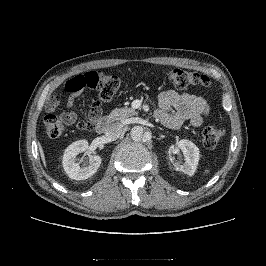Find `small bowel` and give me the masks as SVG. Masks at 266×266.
Returning <instances> with one entry per match:
<instances>
[{"label": "small bowel", "instance_id": "c3829d8e", "mask_svg": "<svg viewBox=\"0 0 266 266\" xmlns=\"http://www.w3.org/2000/svg\"><path fill=\"white\" fill-rule=\"evenodd\" d=\"M68 93L66 99L68 110L62 114V118L67 124H72L76 120L73 107L79 91ZM158 103L159 119L163 125L171 129L179 128L186 121L193 126H199L203 121V117L209 113V105L205 99L187 92L180 94L173 90L164 91L159 95Z\"/></svg>", "mask_w": 266, "mask_h": 266}]
</instances>
